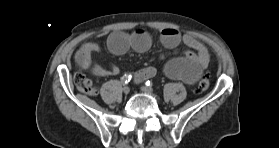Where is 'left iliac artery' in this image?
I'll return each mask as SVG.
<instances>
[{
	"label": "left iliac artery",
	"instance_id": "1",
	"mask_svg": "<svg viewBox=\"0 0 279 148\" xmlns=\"http://www.w3.org/2000/svg\"><path fill=\"white\" fill-rule=\"evenodd\" d=\"M145 85H146L147 87H151V86H152V82H150V81L148 80V81H146Z\"/></svg>",
	"mask_w": 279,
	"mask_h": 148
}]
</instances>
